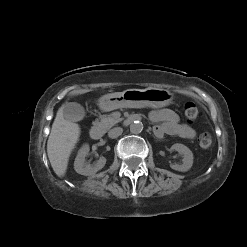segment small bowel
<instances>
[{"label":"small bowel","instance_id":"1","mask_svg":"<svg viewBox=\"0 0 247 247\" xmlns=\"http://www.w3.org/2000/svg\"><path fill=\"white\" fill-rule=\"evenodd\" d=\"M150 119L156 123L154 133L158 138L164 135L179 136L184 139H193L195 130L180 122L178 115L170 109L155 110L150 113Z\"/></svg>","mask_w":247,"mask_h":247}]
</instances>
